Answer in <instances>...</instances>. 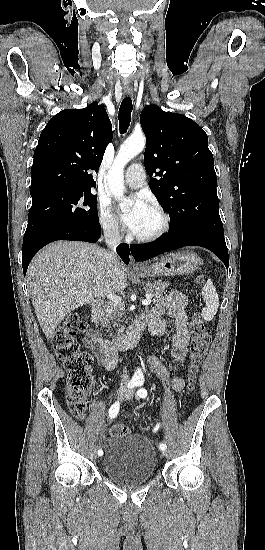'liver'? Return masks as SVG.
I'll use <instances>...</instances> for the list:
<instances>
[{"instance_id":"liver-1","label":"liver","mask_w":265,"mask_h":550,"mask_svg":"<svg viewBox=\"0 0 265 550\" xmlns=\"http://www.w3.org/2000/svg\"><path fill=\"white\" fill-rule=\"evenodd\" d=\"M104 253L95 244L57 241L33 258L27 271L28 287L47 338L53 337L59 323L75 309L126 288L124 264L117 258L111 273Z\"/></svg>"}]
</instances>
